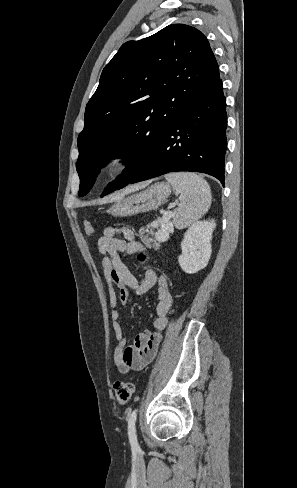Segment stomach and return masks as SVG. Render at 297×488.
Listing matches in <instances>:
<instances>
[{
  "mask_svg": "<svg viewBox=\"0 0 297 488\" xmlns=\"http://www.w3.org/2000/svg\"><path fill=\"white\" fill-rule=\"evenodd\" d=\"M170 194L169 183L157 182L140 192L117 200L108 208L107 213L114 217H129L155 210L165 202Z\"/></svg>",
  "mask_w": 297,
  "mask_h": 488,
  "instance_id": "stomach-1",
  "label": "stomach"
}]
</instances>
